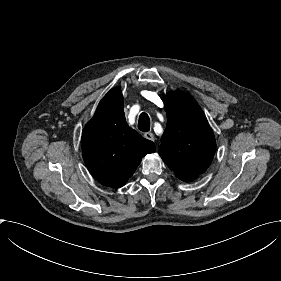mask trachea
<instances>
[{"label":"trachea","mask_w":281,"mask_h":281,"mask_svg":"<svg viewBox=\"0 0 281 281\" xmlns=\"http://www.w3.org/2000/svg\"><path fill=\"white\" fill-rule=\"evenodd\" d=\"M138 128L143 132L150 130V118L146 113H141L138 120Z\"/></svg>","instance_id":"obj_1"}]
</instances>
